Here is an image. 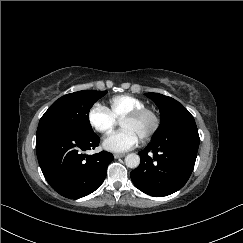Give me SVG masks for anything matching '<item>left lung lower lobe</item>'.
<instances>
[{
  "label": "left lung lower lobe",
  "mask_w": 243,
  "mask_h": 243,
  "mask_svg": "<svg viewBox=\"0 0 243 243\" xmlns=\"http://www.w3.org/2000/svg\"><path fill=\"white\" fill-rule=\"evenodd\" d=\"M199 142L195 123L152 140L139 152L140 165L130 174L134 185L152 196H166L178 191L192 173Z\"/></svg>",
  "instance_id": "1"
}]
</instances>
